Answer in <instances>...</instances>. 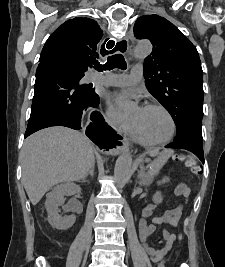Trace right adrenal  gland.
<instances>
[{
    "label": "right adrenal gland",
    "mask_w": 225,
    "mask_h": 267,
    "mask_svg": "<svg viewBox=\"0 0 225 267\" xmlns=\"http://www.w3.org/2000/svg\"><path fill=\"white\" fill-rule=\"evenodd\" d=\"M94 170H95V162L93 163L92 167L90 168V170L87 172V174L85 175V177L83 178V180H85L89 175L91 177L94 176Z\"/></svg>",
    "instance_id": "1"
}]
</instances>
